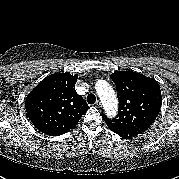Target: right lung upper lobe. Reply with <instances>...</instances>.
I'll list each match as a JSON object with an SVG mask.
<instances>
[{
    "label": "right lung upper lobe",
    "mask_w": 179,
    "mask_h": 179,
    "mask_svg": "<svg viewBox=\"0 0 179 179\" xmlns=\"http://www.w3.org/2000/svg\"><path fill=\"white\" fill-rule=\"evenodd\" d=\"M78 75L55 73L43 79L26 97L25 108L42 133L59 136L75 126L89 109L76 93Z\"/></svg>",
    "instance_id": "cb5924a9"
}]
</instances>
